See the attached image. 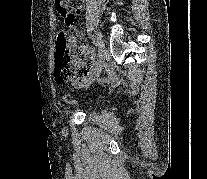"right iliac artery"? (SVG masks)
Listing matches in <instances>:
<instances>
[{
  "instance_id": "right-iliac-artery-1",
  "label": "right iliac artery",
  "mask_w": 207,
  "mask_h": 179,
  "mask_svg": "<svg viewBox=\"0 0 207 179\" xmlns=\"http://www.w3.org/2000/svg\"><path fill=\"white\" fill-rule=\"evenodd\" d=\"M92 41H93V44H94L96 47L99 46L98 41H97L93 36H92ZM84 81L87 82L86 79H84Z\"/></svg>"
}]
</instances>
